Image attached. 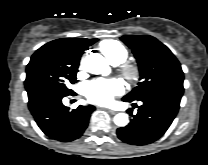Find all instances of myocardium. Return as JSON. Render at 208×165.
<instances>
[{"label": "myocardium", "instance_id": "1", "mask_svg": "<svg viewBox=\"0 0 208 165\" xmlns=\"http://www.w3.org/2000/svg\"><path fill=\"white\" fill-rule=\"evenodd\" d=\"M121 73L129 82H135L139 77L138 66L133 63H125L122 65Z\"/></svg>", "mask_w": 208, "mask_h": 165}]
</instances>
